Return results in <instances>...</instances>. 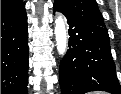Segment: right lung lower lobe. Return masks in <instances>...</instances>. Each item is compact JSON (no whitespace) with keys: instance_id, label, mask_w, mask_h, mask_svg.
<instances>
[{"instance_id":"98d812e1","label":"right lung lower lobe","mask_w":121,"mask_h":94,"mask_svg":"<svg viewBox=\"0 0 121 94\" xmlns=\"http://www.w3.org/2000/svg\"><path fill=\"white\" fill-rule=\"evenodd\" d=\"M28 31L25 3L1 11V94H27Z\"/></svg>"}]
</instances>
